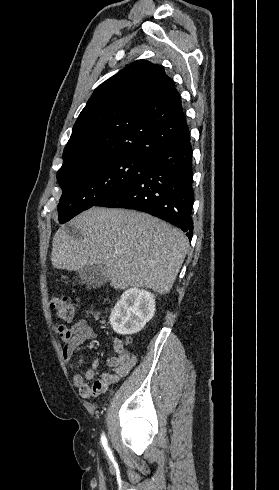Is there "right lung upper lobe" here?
<instances>
[{"label": "right lung upper lobe", "mask_w": 279, "mask_h": 490, "mask_svg": "<svg viewBox=\"0 0 279 490\" xmlns=\"http://www.w3.org/2000/svg\"><path fill=\"white\" fill-rule=\"evenodd\" d=\"M188 138L174 82L162 66L138 60L94 90L74 124L57 175L100 158L150 161Z\"/></svg>", "instance_id": "right-lung-upper-lobe-1"}]
</instances>
